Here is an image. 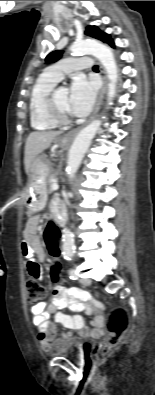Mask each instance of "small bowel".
<instances>
[{
    "mask_svg": "<svg viewBox=\"0 0 155 395\" xmlns=\"http://www.w3.org/2000/svg\"><path fill=\"white\" fill-rule=\"evenodd\" d=\"M62 208L59 200L55 199L51 203V209L55 213L57 209ZM37 229V220H33L27 229V237L21 244V251L27 260V270L32 278L43 281L44 276L38 261H43L45 255L35 239ZM69 308L72 311H86L92 314L91 326L88 329L85 325L84 318L81 315H68L61 312L62 309ZM98 309V311H97ZM107 304H103L101 300H90L88 294L78 288L66 289L58 286L53 291V299L50 304L39 302L32 306L31 313L33 315V324L37 328V339L40 346L47 350L51 346V342L56 336V326L60 324L67 331L63 332L62 338H71L70 330H75L82 337L99 336L103 328V317L107 315ZM54 315V319L50 320V315Z\"/></svg>",
    "mask_w": 155,
    "mask_h": 395,
    "instance_id": "small-bowel-1",
    "label": "small bowel"
}]
</instances>
